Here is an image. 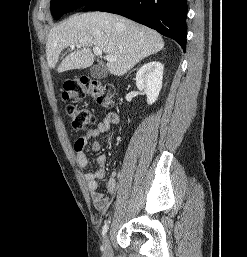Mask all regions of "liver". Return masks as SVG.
I'll use <instances>...</instances> for the list:
<instances>
[{"instance_id": "obj_1", "label": "liver", "mask_w": 247, "mask_h": 257, "mask_svg": "<svg viewBox=\"0 0 247 257\" xmlns=\"http://www.w3.org/2000/svg\"><path fill=\"white\" fill-rule=\"evenodd\" d=\"M77 44L80 47L63 59L58 72L90 67L94 62L91 50L94 46L115 58L107 62V69L122 76L142 59L161 51L164 40L156 31L118 15L105 12L75 15L50 30L46 45L49 67L55 68L62 51Z\"/></svg>"}]
</instances>
